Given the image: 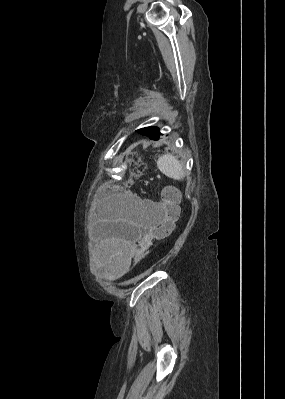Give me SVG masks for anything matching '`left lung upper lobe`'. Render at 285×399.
<instances>
[{
    "label": "left lung upper lobe",
    "mask_w": 285,
    "mask_h": 399,
    "mask_svg": "<svg viewBox=\"0 0 285 399\" xmlns=\"http://www.w3.org/2000/svg\"><path fill=\"white\" fill-rule=\"evenodd\" d=\"M137 132L144 135H156V136L161 135L159 128L157 127H146L137 130Z\"/></svg>",
    "instance_id": "obj_1"
}]
</instances>
